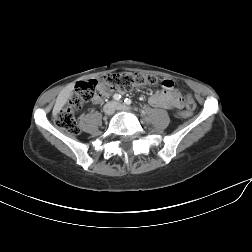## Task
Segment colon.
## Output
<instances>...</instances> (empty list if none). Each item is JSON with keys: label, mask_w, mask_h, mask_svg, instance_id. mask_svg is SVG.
<instances>
[{"label": "colon", "mask_w": 252, "mask_h": 252, "mask_svg": "<svg viewBox=\"0 0 252 252\" xmlns=\"http://www.w3.org/2000/svg\"><path fill=\"white\" fill-rule=\"evenodd\" d=\"M158 83V79L154 75L144 74L141 72H119L106 75L101 81L89 80L81 82L75 88L68 104L60 109L54 116L57 127L71 135L79 133L75 114L82 109L85 103L93 100L97 96V90L100 87L118 91L127 92L135 86L149 85L153 86ZM165 87L173 85L170 81L162 82ZM187 110L182 113L183 116H189L196 108L195 101L187 98Z\"/></svg>", "instance_id": "obj_1"}]
</instances>
